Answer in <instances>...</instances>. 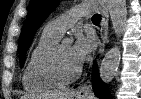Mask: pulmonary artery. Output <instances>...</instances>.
I'll return each instance as SVG.
<instances>
[{
  "label": "pulmonary artery",
  "instance_id": "1",
  "mask_svg": "<svg viewBox=\"0 0 141 99\" xmlns=\"http://www.w3.org/2000/svg\"><path fill=\"white\" fill-rule=\"evenodd\" d=\"M94 9V6L90 3L78 5L48 22L44 31L59 39L79 18L90 16Z\"/></svg>",
  "mask_w": 141,
  "mask_h": 99
}]
</instances>
